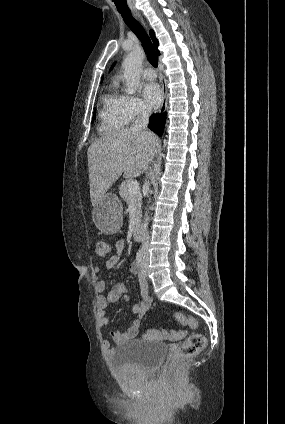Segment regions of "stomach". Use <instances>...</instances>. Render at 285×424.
Segmentation results:
<instances>
[{
    "instance_id": "0dacf381",
    "label": "stomach",
    "mask_w": 285,
    "mask_h": 424,
    "mask_svg": "<svg viewBox=\"0 0 285 424\" xmlns=\"http://www.w3.org/2000/svg\"><path fill=\"white\" fill-rule=\"evenodd\" d=\"M92 220L103 233H116L123 221V205L114 193L105 194L93 207Z\"/></svg>"
}]
</instances>
